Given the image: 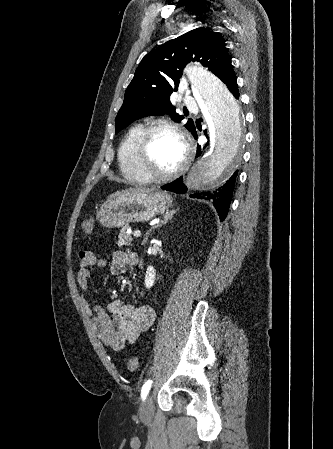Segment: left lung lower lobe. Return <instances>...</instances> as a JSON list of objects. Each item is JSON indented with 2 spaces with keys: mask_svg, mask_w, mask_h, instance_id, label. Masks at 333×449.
<instances>
[{
  "mask_svg": "<svg viewBox=\"0 0 333 449\" xmlns=\"http://www.w3.org/2000/svg\"><path fill=\"white\" fill-rule=\"evenodd\" d=\"M223 82L227 85L228 89L234 95V97L238 98L239 91L237 88L236 75L234 74L233 71L229 73V75L223 80ZM192 135L194 136L195 139H197L196 130L192 132ZM197 152H198L197 156H200L202 152L200 147H198ZM236 176L237 171L229 178V180H227V182L222 187L216 189L215 191L199 192L190 195V197L197 199L212 200L218 212L220 220L223 221L228 212ZM161 188L179 194H183L187 190V188L183 184L182 177H180L179 179L175 180L172 183L162 186Z\"/></svg>",
  "mask_w": 333,
  "mask_h": 449,
  "instance_id": "1",
  "label": "left lung lower lobe"
}]
</instances>
